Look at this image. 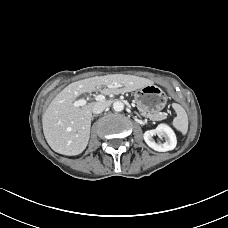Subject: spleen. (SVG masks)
Here are the masks:
<instances>
[{"label": "spleen", "mask_w": 228, "mask_h": 228, "mask_svg": "<svg viewBox=\"0 0 228 228\" xmlns=\"http://www.w3.org/2000/svg\"><path fill=\"white\" fill-rule=\"evenodd\" d=\"M172 107L177 113V116L174 118L172 125L183 135H185L188 131L187 113L185 109L177 103H173Z\"/></svg>", "instance_id": "3e777b00"}]
</instances>
